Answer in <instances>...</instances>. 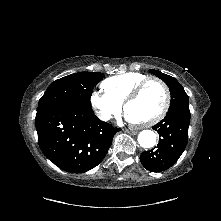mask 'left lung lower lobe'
Masks as SVG:
<instances>
[{
	"instance_id": "obj_1",
	"label": "left lung lower lobe",
	"mask_w": 221,
	"mask_h": 221,
	"mask_svg": "<svg viewBox=\"0 0 221 221\" xmlns=\"http://www.w3.org/2000/svg\"><path fill=\"white\" fill-rule=\"evenodd\" d=\"M189 124V106L170 108L165 118L152 127L160 136L159 143L155 149L142 152V165L151 172H161L174 165L186 147Z\"/></svg>"
}]
</instances>
